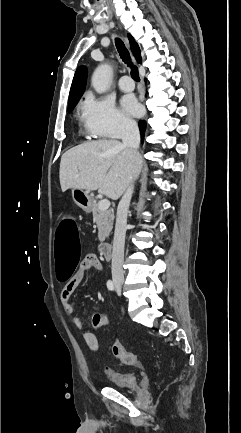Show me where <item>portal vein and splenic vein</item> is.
<instances>
[{"label":"portal vein and splenic vein","mask_w":241,"mask_h":433,"mask_svg":"<svg viewBox=\"0 0 241 433\" xmlns=\"http://www.w3.org/2000/svg\"><path fill=\"white\" fill-rule=\"evenodd\" d=\"M110 207V201L107 199H103L99 202L100 210H107Z\"/></svg>","instance_id":"1"}]
</instances>
